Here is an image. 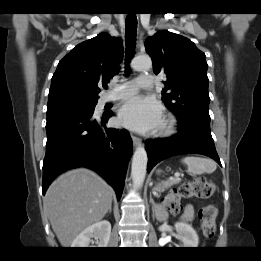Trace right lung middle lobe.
Segmentation results:
<instances>
[{
	"label": "right lung middle lobe",
	"instance_id": "1",
	"mask_svg": "<svg viewBox=\"0 0 261 261\" xmlns=\"http://www.w3.org/2000/svg\"><path fill=\"white\" fill-rule=\"evenodd\" d=\"M97 100L73 96H59L48 100L47 116L63 111L94 112Z\"/></svg>",
	"mask_w": 261,
	"mask_h": 261
}]
</instances>
